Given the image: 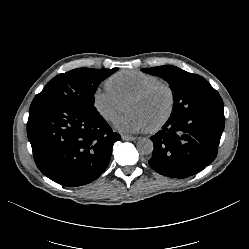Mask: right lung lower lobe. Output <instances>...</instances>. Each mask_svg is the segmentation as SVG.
<instances>
[{
    "label": "right lung lower lobe",
    "mask_w": 249,
    "mask_h": 249,
    "mask_svg": "<svg viewBox=\"0 0 249 249\" xmlns=\"http://www.w3.org/2000/svg\"><path fill=\"white\" fill-rule=\"evenodd\" d=\"M27 135L39 170L70 187L97 179L110 162L114 142L121 138L97 110L68 104L31 109Z\"/></svg>",
    "instance_id": "98d812e1"
}]
</instances>
